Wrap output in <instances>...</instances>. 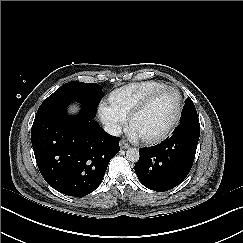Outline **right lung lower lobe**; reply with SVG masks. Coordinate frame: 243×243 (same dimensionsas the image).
<instances>
[{
  "mask_svg": "<svg viewBox=\"0 0 243 243\" xmlns=\"http://www.w3.org/2000/svg\"><path fill=\"white\" fill-rule=\"evenodd\" d=\"M69 104L39 107L31 141L44 180L65 195L82 197L101 184L109 161L120 151V139L106 134L83 106L77 116H69Z\"/></svg>",
  "mask_w": 243,
  "mask_h": 243,
  "instance_id": "1",
  "label": "right lung lower lobe"
}]
</instances>
